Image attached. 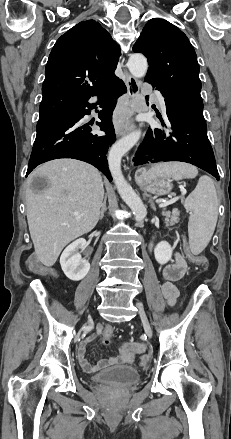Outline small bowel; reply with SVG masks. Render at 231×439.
Instances as JSON below:
<instances>
[{
	"instance_id": "obj_1",
	"label": "small bowel",
	"mask_w": 231,
	"mask_h": 439,
	"mask_svg": "<svg viewBox=\"0 0 231 439\" xmlns=\"http://www.w3.org/2000/svg\"><path fill=\"white\" fill-rule=\"evenodd\" d=\"M186 268L187 264L184 257L177 252L174 253L173 262L162 268V277L164 279L162 294L170 306L175 304L179 294L174 282L184 275ZM112 332V327L109 325L100 327L96 333L88 336L85 341L79 344L77 358L81 367L86 372L91 373L118 364H130L133 362L135 354L144 351V345L141 343L122 342L115 356L109 359H101L96 365L90 364L85 357L87 344L95 340L99 335L105 336L107 333L112 334Z\"/></svg>"
}]
</instances>
